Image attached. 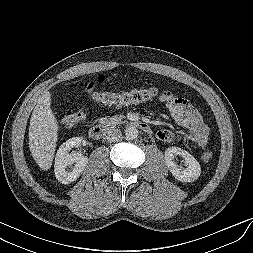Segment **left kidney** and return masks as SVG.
Listing matches in <instances>:
<instances>
[{"label":"left kidney","instance_id":"5707ae66","mask_svg":"<svg viewBox=\"0 0 253 253\" xmlns=\"http://www.w3.org/2000/svg\"><path fill=\"white\" fill-rule=\"evenodd\" d=\"M184 159L186 168L179 166L174 162L176 156ZM165 161L172 175L181 182H193L201 174V167L198 161L186 150L179 147H169L165 150Z\"/></svg>","mask_w":253,"mask_h":253}]
</instances>
